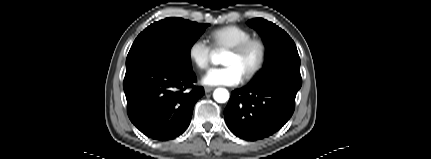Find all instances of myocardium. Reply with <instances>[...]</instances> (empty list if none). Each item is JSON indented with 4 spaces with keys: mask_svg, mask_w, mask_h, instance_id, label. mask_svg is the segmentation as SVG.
<instances>
[{
    "mask_svg": "<svg viewBox=\"0 0 431 159\" xmlns=\"http://www.w3.org/2000/svg\"><path fill=\"white\" fill-rule=\"evenodd\" d=\"M256 48L258 51V59L255 66L243 75L245 80H251L256 77L264 67L267 57V47L263 40L259 38H250L234 47L228 49V52L233 53L237 56H242L247 53L250 49Z\"/></svg>",
    "mask_w": 431,
    "mask_h": 159,
    "instance_id": "1",
    "label": "myocardium"
}]
</instances>
